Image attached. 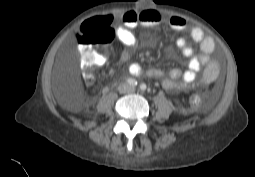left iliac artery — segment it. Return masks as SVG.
<instances>
[{
	"mask_svg": "<svg viewBox=\"0 0 255 177\" xmlns=\"http://www.w3.org/2000/svg\"><path fill=\"white\" fill-rule=\"evenodd\" d=\"M140 89L142 91L146 90V85L144 83L140 84Z\"/></svg>",
	"mask_w": 255,
	"mask_h": 177,
	"instance_id": "left-iliac-artery-1",
	"label": "left iliac artery"
}]
</instances>
